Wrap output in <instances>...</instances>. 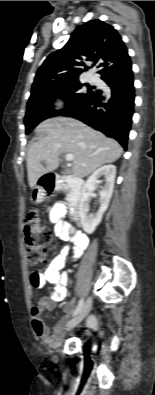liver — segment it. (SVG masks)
Listing matches in <instances>:
<instances>
[{"label":"liver","instance_id":"obj_1","mask_svg":"<svg viewBox=\"0 0 155 395\" xmlns=\"http://www.w3.org/2000/svg\"><path fill=\"white\" fill-rule=\"evenodd\" d=\"M36 132L46 136L28 150L27 172L31 188L44 174L58 168L59 156L63 153L73 154L72 173L82 178L104 164L115 162L123 152L116 140L70 117L47 119L36 127Z\"/></svg>","mask_w":155,"mask_h":395}]
</instances>
